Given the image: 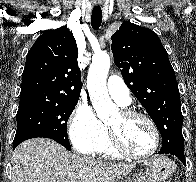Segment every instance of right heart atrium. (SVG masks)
<instances>
[{
  "instance_id": "d8ad5b80",
  "label": "right heart atrium",
  "mask_w": 196,
  "mask_h": 182,
  "mask_svg": "<svg viewBox=\"0 0 196 182\" xmlns=\"http://www.w3.org/2000/svg\"><path fill=\"white\" fill-rule=\"evenodd\" d=\"M69 137L73 146L83 154L96 153L106 138V128L86 102L80 101L69 121Z\"/></svg>"
}]
</instances>
